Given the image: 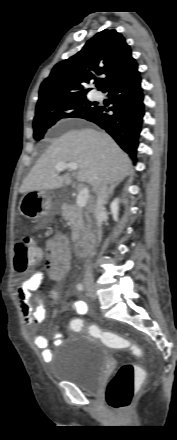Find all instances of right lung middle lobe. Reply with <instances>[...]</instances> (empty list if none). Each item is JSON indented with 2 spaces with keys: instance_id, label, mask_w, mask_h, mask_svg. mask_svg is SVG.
Wrapping results in <instances>:
<instances>
[{
  "instance_id": "right-lung-middle-lobe-1",
  "label": "right lung middle lobe",
  "mask_w": 177,
  "mask_h": 440,
  "mask_svg": "<svg viewBox=\"0 0 177 440\" xmlns=\"http://www.w3.org/2000/svg\"><path fill=\"white\" fill-rule=\"evenodd\" d=\"M95 108V103L87 100L86 95L64 97L43 106H36L33 136L39 140L43 138L47 129L61 118H83Z\"/></svg>"
}]
</instances>
